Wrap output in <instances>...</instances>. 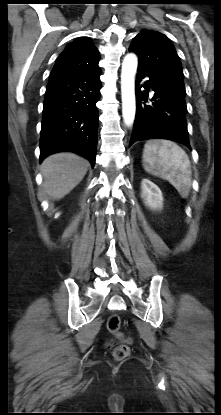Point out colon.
<instances>
[{
    "instance_id": "5ec220e1",
    "label": "colon",
    "mask_w": 221,
    "mask_h": 415,
    "mask_svg": "<svg viewBox=\"0 0 221 415\" xmlns=\"http://www.w3.org/2000/svg\"><path fill=\"white\" fill-rule=\"evenodd\" d=\"M121 326V319L117 314H112L107 318L106 327L107 330L116 335L118 338H121V334L119 332ZM107 347L112 350V355L117 360H122L126 358L129 353L130 349L129 346L125 343L115 344L112 340L107 342Z\"/></svg>"
}]
</instances>
